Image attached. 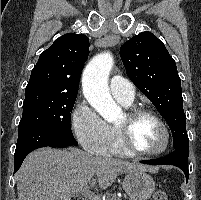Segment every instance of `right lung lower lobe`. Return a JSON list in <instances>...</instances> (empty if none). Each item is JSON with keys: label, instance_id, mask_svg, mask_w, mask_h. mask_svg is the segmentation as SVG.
<instances>
[{"label": "right lung lower lobe", "instance_id": "right-lung-lower-lobe-1", "mask_svg": "<svg viewBox=\"0 0 201 200\" xmlns=\"http://www.w3.org/2000/svg\"><path fill=\"white\" fill-rule=\"evenodd\" d=\"M78 145L73 135L43 126H32L19 130L14 154V173L18 171L25 157L41 147H67Z\"/></svg>", "mask_w": 201, "mask_h": 200}]
</instances>
